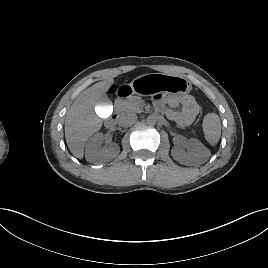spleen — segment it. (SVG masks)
Listing matches in <instances>:
<instances>
[{"label":"spleen","mask_w":268,"mask_h":268,"mask_svg":"<svg viewBox=\"0 0 268 268\" xmlns=\"http://www.w3.org/2000/svg\"><path fill=\"white\" fill-rule=\"evenodd\" d=\"M203 132L205 139L211 145L218 143L221 135V122L216 113H208L203 119Z\"/></svg>","instance_id":"obj_1"}]
</instances>
